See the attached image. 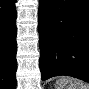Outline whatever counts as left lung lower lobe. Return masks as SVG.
<instances>
[{"label":"left lung lower lobe","mask_w":89,"mask_h":89,"mask_svg":"<svg viewBox=\"0 0 89 89\" xmlns=\"http://www.w3.org/2000/svg\"><path fill=\"white\" fill-rule=\"evenodd\" d=\"M38 17L42 80L89 82V0H40Z\"/></svg>","instance_id":"left-lung-lower-lobe-1"}]
</instances>
